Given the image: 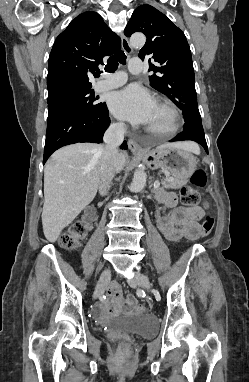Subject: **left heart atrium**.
<instances>
[{
  "label": "left heart atrium",
  "instance_id": "1",
  "mask_svg": "<svg viewBox=\"0 0 249 382\" xmlns=\"http://www.w3.org/2000/svg\"><path fill=\"white\" fill-rule=\"evenodd\" d=\"M108 104L111 112L117 118L133 124H147L156 107V102L150 92L135 84L114 92L110 96Z\"/></svg>",
  "mask_w": 249,
  "mask_h": 382
}]
</instances>
